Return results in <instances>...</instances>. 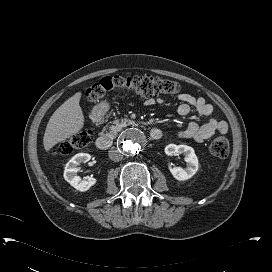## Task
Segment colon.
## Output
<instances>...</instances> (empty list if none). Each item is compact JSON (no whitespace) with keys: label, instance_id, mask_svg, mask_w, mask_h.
Segmentation results:
<instances>
[{"label":"colon","instance_id":"obj_1","mask_svg":"<svg viewBox=\"0 0 272 272\" xmlns=\"http://www.w3.org/2000/svg\"><path fill=\"white\" fill-rule=\"evenodd\" d=\"M113 90L133 91L143 97L151 98L159 95H172L178 92V84L170 79L151 76L149 74L133 77L109 76L92 85L88 91L90 101H97ZM91 139V131H80L64 141L58 148V153L69 154L75 148L86 146ZM230 143L226 136L215 137L210 144V152L216 157H226Z\"/></svg>","mask_w":272,"mask_h":272}]
</instances>
